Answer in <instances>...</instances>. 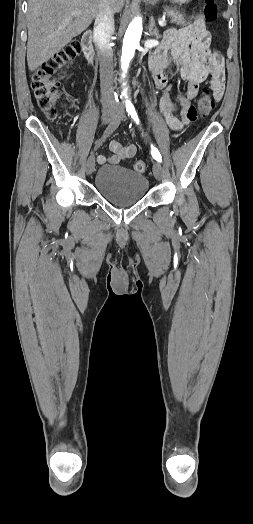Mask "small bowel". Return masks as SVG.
<instances>
[{"instance_id": "small-bowel-1", "label": "small bowel", "mask_w": 253, "mask_h": 524, "mask_svg": "<svg viewBox=\"0 0 253 524\" xmlns=\"http://www.w3.org/2000/svg\"><path fill=\"white\" fill-rule=\"evenodd\" d=\"M211 35L205 27L204 19L197 16L190 24L182 28L167 30L161 45L153 52L149 60L155 88L161 92L158 98L159 110L168 125L174 131H181L199 115L197 102L194 100L199 85L209 80L213 96L221 99L224 93L225 69L223 57L210 49ZM169 76L186 82V96L178 95L172 99L169 95ZM179 109L180 117L173 112ZM110 155L97 156L99 164H117L135 156L136 146L122 144L112 140L109 144Z\"/></svg>"}]
</instances>
